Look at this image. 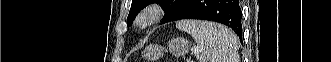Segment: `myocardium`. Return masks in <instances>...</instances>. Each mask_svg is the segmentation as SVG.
I'll list each match as a JSON object with an SVG mask.
<instances>
[{"label":"myocardium","instance_id":"myocardium-1","mask_svg":"<svg viewBox=\"0 0 331 62\" xmlns=\"http://www.w3.org/2000/svg\"><path fill=\"white\" fill-rule=\"evenodd\" d=\"M163 17V11L158 6H151L143 10L135 20V27L138 30H145L159 22Z\"/></svg>","mask_w":331,"mask_h":62}]
</instances>
